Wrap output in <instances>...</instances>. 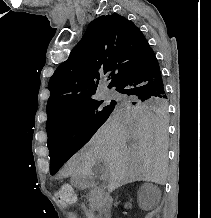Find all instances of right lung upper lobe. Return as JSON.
Segmentation results:
<instances>
[{
  "mask_svg": "<svg viewBox=\"0 0 211 218\" xmlns=\"http://www.w3.org/2000/svg\"><path fill=\"white\" fill-rule=\"evenodd\" d=\"M151 50L142 32L125 17L114 13L93 20L69 58L50 78L46 129L66 113L93 100L105 74L111 79V88Z\"/></svg>",
  "mask_w": 211,
  "mask_h": 218,
  "instance_id": "obj_1",
  "label": "right lung upper lobe"
}]
</instances>
